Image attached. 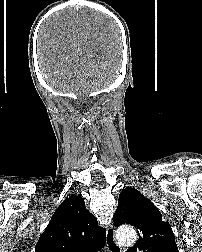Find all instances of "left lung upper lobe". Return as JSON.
<instances>
[{"mask_svg": "<svg viewBox=\"0 0 202 252\" xmlns=\"http://www.w3.org/2000/svg\"><path fill=\"white\" fill-rule=\"evenodd\" d=\"M113 222L116 227L130 224L139 231L138 241L127 252H178L169 223L135 188L128 187L120 193Z\"/></svg>", "mask_w": 202, "mask_h": 252, "instance_id": "obj_1", "label": "left lung upper lobe"}]
</instances>
